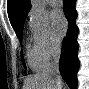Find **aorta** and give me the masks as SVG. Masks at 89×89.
Listing matches in <instances>:
<instances>
[{"label": "aorta", "mask_w": 89, "mask_h": 89, "mask_svg": "<svg viewBox=\"0 0 89 89\" xmlns=\"http://www.w3.org/2000/svg\"><path fill=\"white\" fill-rule=\"evenodd\" d=\"M32 9L37 12H44L45 11V2L44 0H32Z\"/></svg>", "instance_id": "1"}]
</instances>
